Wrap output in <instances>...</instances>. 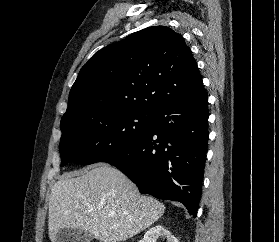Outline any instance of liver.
<instances>
[{
	"label": "liver",
	"instance_id": "obj_1",
	"mask_svg": "<svg viewBox=\"0 0 279 242\" xmlns=\"http://www.w3.org/2000/svg\"><path fill=\"white\" fill-rule=\"evenodd\" d=\"M164 211L161 202L140 195L121 171L98 164L90 170L66 173L53 185L49 238L55 242L60 230L72 228L101 242L126 241L152 225Z\"/></svg>",
	"mask_w": 279,
	"mask_h": 242
}]
</instances>
